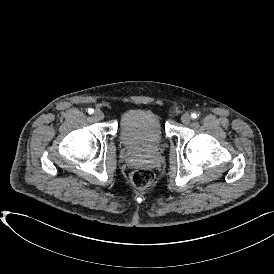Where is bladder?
<instances>
[{
    "mask_svg": "<svg viewBox=\"0 0 274 274\" xmlns=\"http://www.w3.org/2000/svg\"><path fill=\"white\" fill-rule=\"evenodd\" d=\"M118 137L120 142L128 148H156L165 139L163 121L152 108L134 107L123 115L119 124Z\"/></svg>",
    "mask_w": 274,
    "mask_h": 274,
    "instance_id": "bladder-1",
    "label": "bladder"
}]
</instances>
